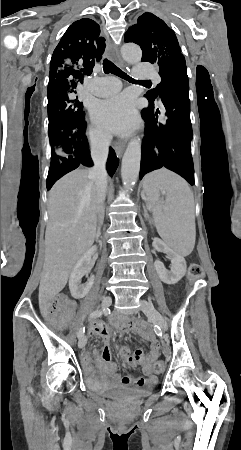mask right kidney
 I'll list each match as a JSON object with an SVG mask.
<instances>
[{
	"label": "right kidney",
	"mask_w": 241,
	"mask_h": 450,
	"mask_svg": "<svg viewBox=\"0 0 241 450\" xmlns=\"http://www.w3.org/2000/svg\"><path fill=\"white\" fill-rule=\"evenodd\" d=\"M94 252H96L95 246H93V248H90V250H87V252L83 254L82 258L78 260L77 264H75L70 274L69 290L71 292V296H73V298H76V300L85 298L94 284V276H90L86 284H81L83 276H88V274H90L92 270V256Z\"/></svg>",
	"instance_id": "right-kidney-1"
}]
</instances>
